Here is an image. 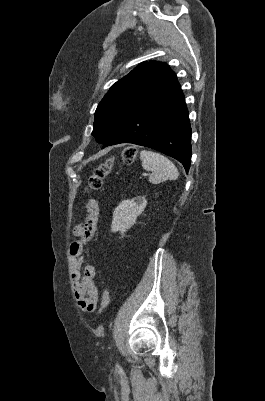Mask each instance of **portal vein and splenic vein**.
Returning <instances> with one entry per match:
<instances>
[{
    "label": "portal vein and splenic vein",
    "mask_w": 265,
    "mask_h": 401,
    "mask_svg": "<svg viewBox=\"0 0 265 401\" xmlns=\"http://www.w3.org/2000/svg\"><path fill=\"white\" fill-rule=\"evenodd\" d=\"M144 174H145L146 176H149V175H150V172H149V171H146V172H144Z\"/></svg>",
    "instance_id": "portal-vein-and-splenic-vein-1"
}]
</instances>
